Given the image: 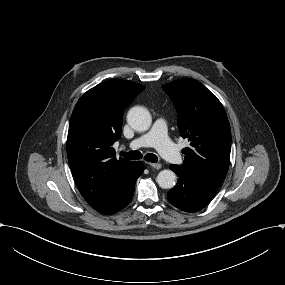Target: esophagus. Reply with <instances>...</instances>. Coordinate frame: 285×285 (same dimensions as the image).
Returning <instances> with one entry per match:
<instances>
[{"mask_svg":"<svg viewBox=\"0 0 285 285\" xmlns=\"http://www.w3.org/2000/svg\"><path fill=\"white\" fill-rule=\"evenodd\" d=\"M151 167H153L154 169L159 170L161 168V164L160 163H148Z\"/></svg>","mask_w":285,"mask_h":285,"instance_id":"esophagus-1","label":"esophagus"}]
</instances>
